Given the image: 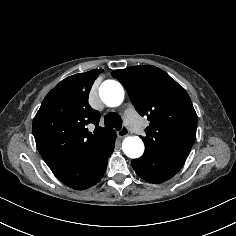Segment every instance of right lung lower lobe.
<instances>
[{"instance_id": "right-lung-lower-lobe-1", "label": "right lung lower lobe", "mask_w": 236, "mask_h": 236, "mask_svg": "<svg viewBox=\"0 0 236 236\" xmlns=\"http://www.w3.org/2000/svg\"><path fill=\"white\" fill-rule=\"evenodd\" d=\"M115 135L93 151L86 159L52 169L54 175L65 185L83 190L95 185L103 177L108 157L114 150Z\"/></svg>"}]
</instances>
